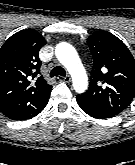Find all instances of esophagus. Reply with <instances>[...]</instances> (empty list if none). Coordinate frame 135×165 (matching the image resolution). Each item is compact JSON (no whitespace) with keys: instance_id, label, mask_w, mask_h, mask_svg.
Segmentation results:
<instances>
[{"instance_id":"1","label":"esophagus","mask_w":135,"mask_h":165,"mask_svg":"<svg viewBox=\"0 0 135 165\" xmlns=\"http://www.w3.org/2000/svg\"><path fill=\"white\" fill-rule=\"evenodd\" d=\"M59 81H64V82H70L71 81V77L69 75L63 77V76H58L57 78Z\"/></svg>"}]
</instances>
